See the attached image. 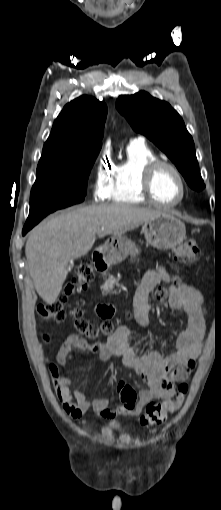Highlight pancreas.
<instances>
[{"instance_id":"1","label":"pancreas","mask_w":221,"mask_h":510,"mask_svg":"<svg viewBox=\"0 0 221 510\" xmlns=\"http://www.w3.org/2000/svg\"><path fill=\"white\" fill-rule=\"evenodd\" d=\"M116 282L117 279L109 276V278L105 281L104 285L102 286L103 291L107 292L109 290H112Z\"/></svg>"}]
</instances>
